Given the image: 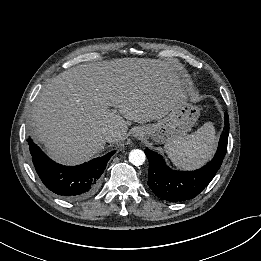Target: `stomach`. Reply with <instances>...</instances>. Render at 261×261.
<instances>
[{
  "label": "stomach",
  "mask_w": 261,
  "mask_h": 261,
  "mask_svg": "<svg viewBox=\"0 0 261 261\" xmlns=\"http://www.w3.org/2000/svg\"><path fill=\"white\" fill-rule=\"evenodd\" d=\"M199 108L186 99L178 103L156 123L143 126L146 136L157 143H165L183 138L196 124Z\"/></svg>",
  "instance_id": "0dacf381"
}]
</instances>
